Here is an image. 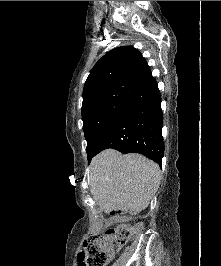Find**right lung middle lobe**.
I'll return each mask as SVG.
<instances>
[{"mask_svg":"<svg viewBox=\"0 0 221 266\" xmlns=\"http://www.w3.org/2000/svg\"><path fill=\"white\" fill-rule=\"evenodd\" d=\"M139 89L135 85H120L98 89L83 97L82 120L88 158Z\"/></svg>","mask_w":221,"mask_h":266,"instance_id":"1","label":"right lung middle lobe"}]
</instances>
